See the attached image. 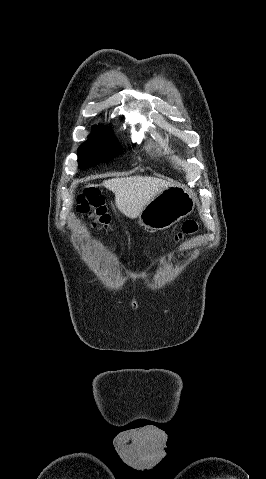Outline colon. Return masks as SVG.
I'll return each mask as SVG.
<instances>
[{
	"instance_id": "obj_1",
	"label": "colon",
	"mask_w": 266,
	"mask_h": 479,
	"mask_svg": "<svg viewBox=\"0 0 266 479\" xmlns=\"http://www.w3.org/2000/svg\"><path fill=\"white\" fill-rule=\"evenodd\" d=\"M77 210L79 213L93 218L94 228L100 231H108L111 217L107 211L103 196L97 189H88L77 197ZM199 229V223L188 220L183 223L181 229L175 233L174 242L178 243L185 237L195 234Z\"/></svg>"
}]
</instances>
